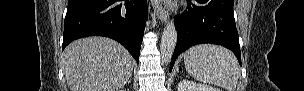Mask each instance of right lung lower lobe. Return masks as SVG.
Instances as JSON below:
<instances>
[{
  "instance_id": "obj_1",
  "label": "right lung lower lobe",
  "mask_w": 304,
  "mask_h": 91,
  "mask_svg": "<svg viewBox=\"0 0 304 91\" xmlns=\"http://www.w3.org/2000/svg\"><path fill=\"white\" fill-rule=\"evenodd\" d=\"M147 15L146 0H69L62 50L81 37L105 36L138 62Z\"/></svg>"
}]
</instances>
